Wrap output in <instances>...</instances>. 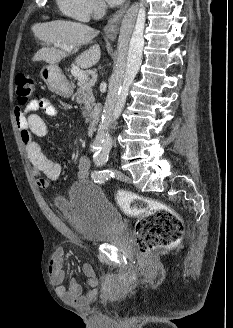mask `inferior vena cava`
<instances>
[{
  "label": "inferior vena cava",
  "mask_w": 233,
  "mask_h": 328,
  "mask_svg": "<svg viewBox=\"0 0 233 328\" xmlns=\"http://www.w3.org/2000/svg\"><path fill=\"white\" fill-rule=\"evenodd\" d=\"M106 12V6L104 3H97L95 6V16L97 18H100L102 16H104Z\"/></svg>",
  "instance_id": "602c4592"
}]
</instances>
